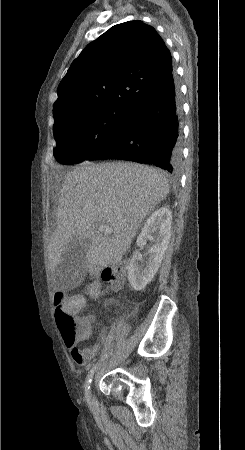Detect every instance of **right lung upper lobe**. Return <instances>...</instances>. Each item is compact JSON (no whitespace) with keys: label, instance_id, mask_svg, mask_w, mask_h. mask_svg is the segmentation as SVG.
Here are the masks:
<instances>
[{"label":"right lung upper lobe","instance_id":"right-lung-upper-lobe-1","mask_svg":"<svg viewBox=\"0 0 245 450\" xmlns=\"http://www.w3.org/2000/svg\"><path fill=\"white\" fill-rule=\"evenodd\" d=\"M172 72L170 52L152 26L139 20L117 24L72 62L58 86L53 114L131 107Z\"/></svg>","mask_w":245,"mask_h":450}]
</instances>
